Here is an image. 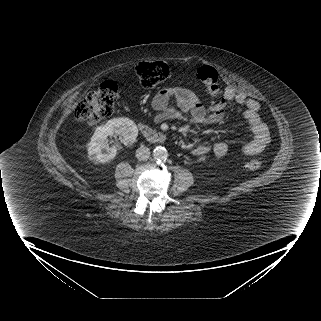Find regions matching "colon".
I'll return each instance as SVG.
<instances>
[{
    "mask_svg": "<svg viewBox=\"0 0 321 321\" xmlns=\"http://www.w3.org/2000/svg\"><path fill=\"white\" fill-rule=\"evenodd\" d=\"M136 74L144 86L153 87L166 81L171 75V69L165 62H143L137 66ZM196 76L210 95L215 96L219 93V75L214 67L203 65L197 69ZM117 94L115 82H103L78 104L74 113L75 118L89 123H97L108 118L113 112ZM246 167L258 170L262 167V161L258 158L250 159Z\"/></svg>",
    "mask_w": 321,
    "mask_h": 321,
    "instance_id": "1",
    "label": "colon"
}]
</instances>
